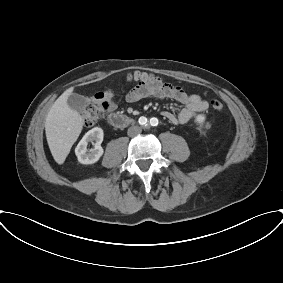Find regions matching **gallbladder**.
<instances>
[{
  "label": "gallbladder",
  "mask_w": 283,
  "mask_h": 283,
  "mask_svg": "<svg viewBox=\"0 0 283 283\" xmlns=\"http://www.w3.org/2000/svg\"><path fill=\"white\" fill-rule=\"evenodd\" d=\"M67 104L71 109L81 113L86 105V99L82 95L71 93L67 99Z\"/></svg>",
  "instance_id": "bac80fb5"
}]
</instances>
